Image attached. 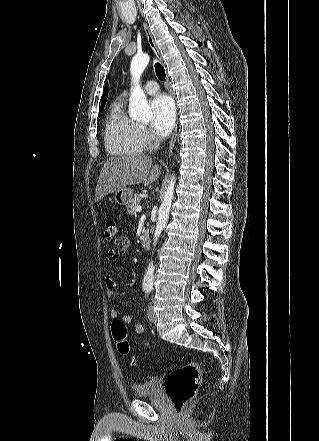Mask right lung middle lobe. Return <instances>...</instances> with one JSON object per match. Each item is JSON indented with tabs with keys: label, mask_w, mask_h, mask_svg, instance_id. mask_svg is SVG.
Instances as JSON below:
<instances>
[{
	"label": "right lung middle lobe",
	"mask_w": 319,
	"mask_h": 441,
	"mask_svg": "<svg viewBox=\"0 0 319 441\" xmlns=\"http://www.w3.org/2000/svg\"><path fill=\"white\" fill-rule=\"evenodd\" d=\"M104 106H105V105H102V106H101V111L104 109Z\"/></svg>",
	"instance_id": "1"
}]
</instances>
